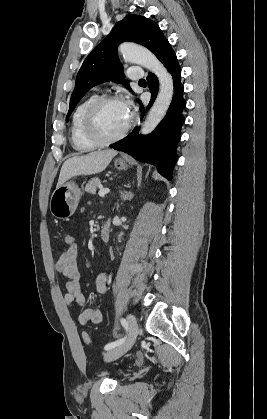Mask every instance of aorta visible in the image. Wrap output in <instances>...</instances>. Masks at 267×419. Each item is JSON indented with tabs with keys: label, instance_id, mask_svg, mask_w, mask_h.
I'll return each mask as SVG.
<instances>
[{
	"label": "aorta",
	"instance_id": "aorta-1",
	"mask_svg": "<svg viewBox=\"0 0 267 419\" xmlns=\"http://www.w3.org/2000/svg\"><path fill=\"white\" fill-rule=\"evenodd\" d=\"M119 50L124 60L139 64L154 73L159 80V92L141 128L142 134L151 133L166 115L174 94L172 76L149 50L131 43H123Z\"/></svg>",
	"mask_w": 267,
	"mask_h": 419
}]
</instances>
